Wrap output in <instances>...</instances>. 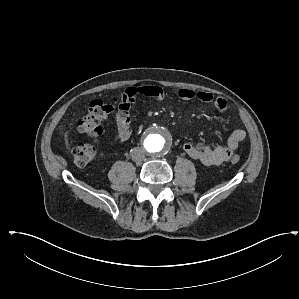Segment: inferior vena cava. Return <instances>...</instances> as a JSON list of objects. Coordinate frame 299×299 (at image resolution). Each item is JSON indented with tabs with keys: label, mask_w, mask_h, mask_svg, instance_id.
Here are the masks:
<instances>
[{
	"label": "inferior vena cava",
	"mask_w": 299,
	"mask_h": 299,
	"mask_svg": "<svg viewBox=\"0 0 299 299\" xmlns=\"http://www.w3.org/2000/svg\"><path fill=\"white\" fill-rule=\"evenodd\" d=\"M132 160L136 163H141L145 160V151L142 148L136 147L131 153Z\"/></svg>",
	"instance_id": "obj_1"
}]
</instances>
